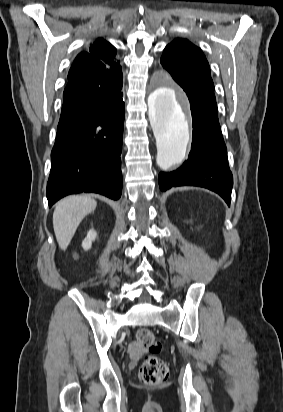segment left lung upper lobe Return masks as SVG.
<instances>
[{"label":"left lung upper lobe","instance_id":"1","mask_svg":"<svg viewBox=\"0 0 283 412\" xmlns=\"http://www.w3.org/2000/svg\"><path fill=\"white\" fill-rule=\"evenodd\" d=\"M161 64L178 82L187 83L196 92L215 100L209 64L202 51L186 39H176L166 46Z\"/></svg>","mask_w":283,"mask_h":412}]
</instances>
